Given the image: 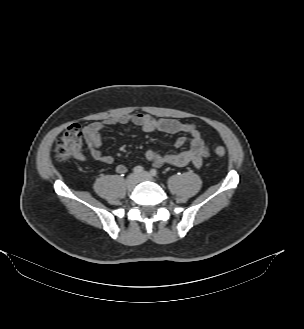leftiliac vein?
<instances>
[{"label": "left iliac vein", "mask_w": 304, "mask_h": 329, "mask_svg": "<svg viewBox=\"0 0 304 329\" xmlns=\"http://www.w3.org/2000/svg\"><path fill=\"white\" fill-rule=\"evenodd\" d=\"M138 182L142 181H154L152 175L148 172H142L141 174L137 175Z\"/></svg>", "instance_id": "4c4485c4"}]
</instances>
